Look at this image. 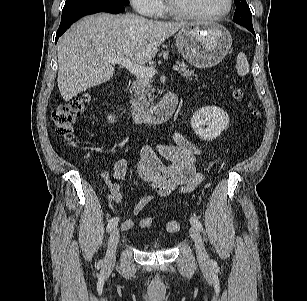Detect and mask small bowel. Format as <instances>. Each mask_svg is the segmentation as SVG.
Returning a JSON list of instances; mask_svg holds the SVG:
<instances>
[{
  "label": "small bowel",
  "mask_w": 307,
  "mask_h": 301,
  "mask_svg": "<svg viewBox=\"0 0 307 301\" xmlns=\"http://www.w3.org/2000/svg\"><path fill=\"white\" fill-rule=\"evenodd\" d=\"M170 139V143H161L156 147L146 146L141 150L137 172L151 185L154 192L144 195L136 203L133 208L134 215H139L156 196L167 197L177 190L191 191L203 179L197 169L202 149L179 133L172 134ZM162 159L170 161L171 165L165 166ZM127 166V159L121 157L114 164L113 175L108 171L101 172L108 200L122 202L119 182L125 178ZM133 225L130 219H124L120 223L124 231L130 230Z\"/></svg>",
  "instance_id": "obj_1"
}]
</instances>
